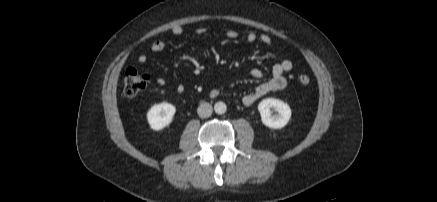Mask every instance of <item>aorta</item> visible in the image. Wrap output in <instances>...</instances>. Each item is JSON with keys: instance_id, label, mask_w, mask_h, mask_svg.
Returning a JSON list of instances; mask_svg holds the SVG:
<instances>
[{"instance_id": "1", "label": "aorta", "mask_w": 437, "mask_h": 202, "mask_svg": "<svg viewBox=\"0 0 437 202\" xmlns=\"http://www.w3.org/2000/svg\"><path fill=\"white\" fill-rule=\"evenodd\" d=\"M227 110V106L224 102H217L214 105V111L217 114H224Z\"/></svg>"}]
</instances>
